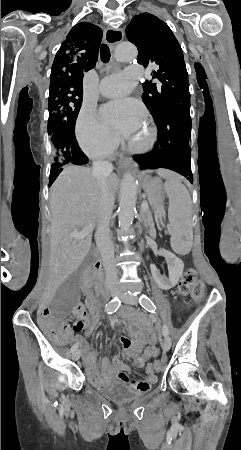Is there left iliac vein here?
I'll list each match as a JSON object with an SVG mask.
<instances>
[{"label": "left iliac vein", "instance_id": "4c4485c4", "mask_svg": "<svg viewBox=\"0 0 241 450\" xmlns=\"http://www.w3.org/2000/svg\"><path fill=\"white\" fill-rule=\"evenodd\" d=\"M119 297L121 298V300H122L124 303H127V304L137 305V303H138L137 297L134 296V295H132V294H130V293H124V292H122V293L119 295ZM170 346H171V340H170V338H169V337H165V339L163 340V343H162V347H163L164 351L167 352V351L170 349Z\"/></svg>", "mask_w": 241, "mask_h": 450}]
</instances>
